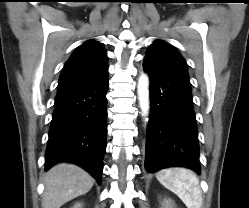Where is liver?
Wrapping results in <instances>:
<instances>
[{
  "label": "liver",
  "mask_w": 249,
  "mask_h": 208,
  "mask_svg": "<svg viewBox=\"0 0 249 208\" xmlns=\"http://www.w3.org/2000/svg\"><path fill=\"white\" fill-rule=\"evenodd\" d=\"M43 208H60L72 199L86 194L94 179L82 168L68 163L52 167L44 177Z\"/></svg>",
  "instance_id": "6515ba94"
}]
</instances>
